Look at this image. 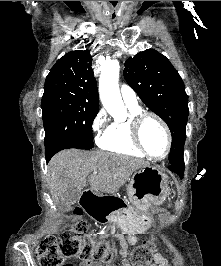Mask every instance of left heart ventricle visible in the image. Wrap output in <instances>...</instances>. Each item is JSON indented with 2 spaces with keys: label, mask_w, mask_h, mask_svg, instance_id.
<instances>
[{
  "label": "left heart ventricle",
  "mask_w": 221,
  "mask_h": 266,
  "mask_svg": "<svg viewBox=\"0 0 221 266\" xmlns=\"http://www.w3.org/2000/svg\"><path fill=\"white\" fill-rule=\"evenodd\" d=\"M141 140L147 151L154 156H161L166 149V136L162 127L153 118L144 121Z\"/></svg>",
  "instance_id": "left-heart-ventricle-1"
}]
</instances>
